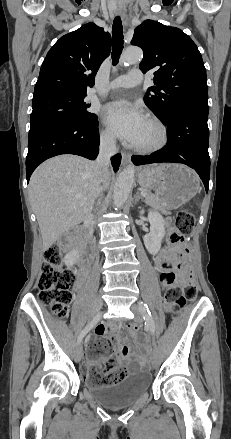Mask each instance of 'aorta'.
I'll list each match as a JSON object with an SVG mask.
<instances>
[{"mask_svg":"<svg viewBox=\"0 0 231 439\" xmlns=\"http://www.w3.org/2000/svg\"><path fill=\"white\" fill-rule=\"evenodd\" d=\"M143 57V52L138 47H129L125 50L120 58V65H130L140 61ZM134 165L130 164L123 169L114 186L113 203L115 207H122L126 202L133 182H134Z\"/></svg>","mask_w":231,"mask_h":439,"instance_id":"aorta-1","label":"aorta"}]
</instances>
